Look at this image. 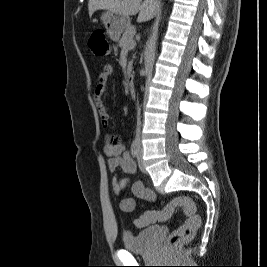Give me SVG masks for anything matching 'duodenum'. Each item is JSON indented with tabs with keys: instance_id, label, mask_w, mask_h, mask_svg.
I'll return each instance as SVG.
<instances>
[{
	"instance_id": "410a0bca",
	"label": "duodenum",
	"mask_w": 267,
	"mask_h": 267,
	"mask_svg": "<svg viewBox=\"0 0 267 267\" xmlns=\"http://www.w3.org/2000/svg\"><path fill=\"white\" fill-rule=\"evenodd\" d=\"M128 89H129L130 95L132 97H135L136 89H135V84H134V76L132 74L129 75V78H128Z\"/></svg>"
}]
</instances>
